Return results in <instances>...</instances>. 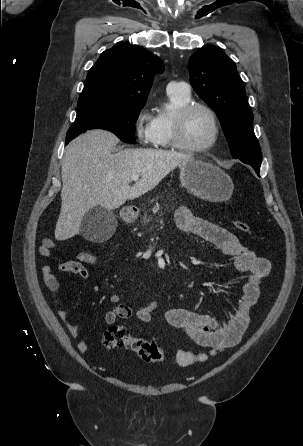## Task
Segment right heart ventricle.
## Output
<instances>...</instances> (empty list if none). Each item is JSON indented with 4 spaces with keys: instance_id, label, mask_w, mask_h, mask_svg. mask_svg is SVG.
I'll use <instances>...</instances> for the list:
<instances>
[{
    "instance_id": "1",
    "label": "right heart ventricle",
    "mask_w": 303,
    "mask_h": 446,
    "mask_svg": "<svg viewBox=\"0 0 303 446\" xmlns=\"http://www.w3.org/2000/svg\"><path fill=\"white\" fill-rule=\"evenodd\" d=\"M191 102L190 92L167 89V102L165 111L154 118V137L152 144L156 148H171L172 145V119L175 113Z\"/></svg>"
}]
</instances>
